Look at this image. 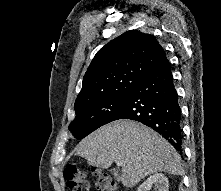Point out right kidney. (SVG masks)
I'll list each match as a JSON object with an SVG mask.
<instances>
[{
    "label": "right kidney",
    "mask_w": 221,
    "mask_h": 191,
    "mask_svg": "<svg viewBox=\"0 0 221 191\" xmlns=\"http://www.w3.org/2000/svg\"><path fill=\"white\" fill-rule=\"evenodd\" d=\"M153 186L155 191H168L169 182L167 177L162 173H155L147 178L137 191H150Z\"/></svg>",
    "instance_id": "1"
}]
</instances>
